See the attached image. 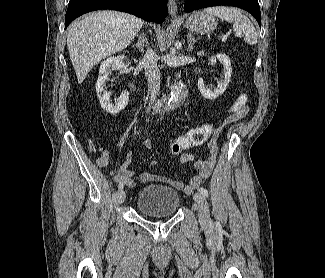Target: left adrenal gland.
<instances>
[{"mask_svg":"<svg viewBox=\"0 0 325 278\" xmlns=\"http://www.w3.org/2000/svg\"><path fill=\"white\" fill-rule=\"evenodd\" d=\"M187 40H188V51H192L193 45L198 41V39H195L191 33H188Z\"/></svg>","mask_w":325,"mask_h":278,"instance_id":"a2214340","label":"left adrenal gland"}]
</instances>
